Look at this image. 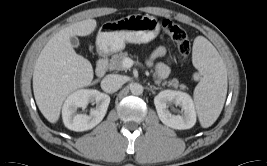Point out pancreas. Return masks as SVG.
<instances>
[{
    "mask_svg": "<svg viewBox=\"0 0 267 166\" xmlns=\"http://www.w3.org/2000/svg\"><path fill=\"white\" fill-rule=\"evenodd\" d=\"M126 57H128V53L127 52H120L118 54H114L110 59V62H109V65H108L109 69L110 70H117V71L125 70L126 68L123 66L122 62ZM155 83L157 85H160L161 81L156 79ZM165 84H166V82L163 83V85H165ZM168 85L173 87V88H178L179 87L182 90L187 89V86L184 85V84H179L177 79H173V80L169 81Z\"/></svg>",
    "mask_w": 267,
    "mask_h": 166,
    "instance_id": "1",
    "label": "pancreas"
}]
</instances>
